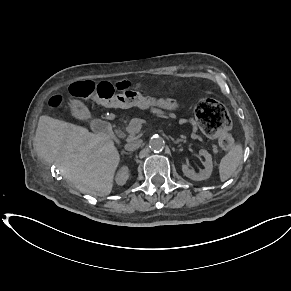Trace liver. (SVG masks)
I'll list each match as a JSON object with an SVG mask.
<instances>
[{
    "label": "liver",
    "mask_w": 291,
    "mask_h": 291,
    "mask_svg": "<svg viewBox=\"0 0 291 291\" xmlns=\"http://www.w3.org/2000/svg\"><path fill=\"white\" fill-rule=\"evenodd\" d=\"M34 148L81 193H111L120 155L109 137L44 115L39 118Z\"/></svg>",
    "instance_id": "6515ba94"
}]
</instances>
